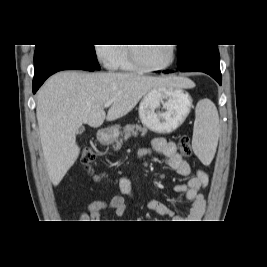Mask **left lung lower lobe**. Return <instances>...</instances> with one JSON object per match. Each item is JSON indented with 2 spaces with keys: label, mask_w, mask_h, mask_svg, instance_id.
Here are the masks:
<instances>
[{
  "label": "left lung lower lobe",
  "mask_w": 267,
  "mask_h": 267,
  "mask_svg": "<svg viewBox=\"0 0 267 267\" xmlns=\"http://www.w3.org/2000/svg\"><path fill=\"white\" fill-rule=\"evenodd\" d=\"M179 70L182 72H204L213 77L220 85L222 83L218 48L205 50L199 53L191 59L187 65L179 68ZM170 72L172 71H164V73Z\"/></svg>",
  "instance_id": "left-lung-lower-lobe-1"
}]
</instances>
